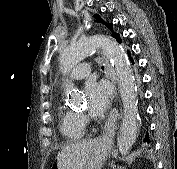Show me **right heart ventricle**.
I'll return each mask as SVG.
<instances>
[{
  "mask_svg": "<svg viewBox=\"0 0 177 169\" xmlns=\"http://www.w3.org/2000/svg\"><path fill=\"white\" fill-rule=\"evenodd\" d=\"M60 131L69 140H79L85 136L86 129L79 114L65 107L59 109Z\"/></svg>",
  "mask_w": 177,
  "mask_h": 169,
  "instance_id": "right-heart-ventricle-1",
  "label": "right heart ventricle"
}]
</instances>
